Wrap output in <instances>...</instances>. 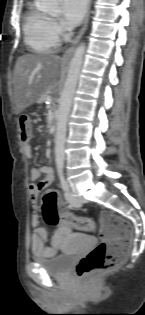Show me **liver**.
I'll list each match as a JSON object with an SVG mask.
<instances>
[{
  "label": "liver",
  "mask_w": 145,
  "mask_h": 315,
  "mask_svg": "<svg viewBox=\"0 0 145 315\" xmlns=\"http://www.w3.org/2000/svg\"><path fill=\"white\" fill-rule=\"evenodd\" d=\"M63 66L61 57L47 54H24L15 65L12 96L16 115L40 100L47 89L54 88Z\"/></svg>",
  "instance_id": "obj_1"
}]
</instances>
